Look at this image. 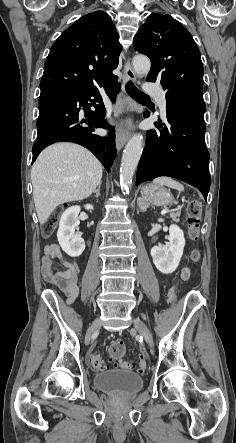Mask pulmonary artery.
<instances>
[{"label": "pulmonary artery", "instance_id": "e3ab8cb5", "mask_svg": "<svg viewBox=\"0 0 236 443\" xmlns=\"http://www.w3.org/2000/svg\"><path fill=\"white\" fill-rule=\"evenodd\" d=\"M156 97H157V101H158V105L159 108L161 110V113L163 116H165L166 113V98H165V94L162 91H158L156 92Z\"/></svg>", "mask_w": 236, "mask_h": 443}]
</instances>
